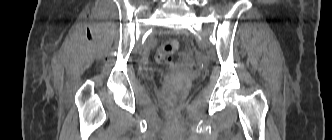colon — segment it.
Segmentation results:
<instances>
[{"label": "colon", "instance_id": "5ec220e1", "mask_svg": "<svg viewBox=\"0 0 332 140\" xmlns=\"http://www.w3.org/2000/svg\"><path fill=\"white\" fill-rule=\"evenodd\" d=\"M178 49V42L176 40H169L160 45L158 50L156 51V60L160 63H164L170 65L173 63L174 54ZM166 75V70L162 69L158 73V77L160 80Z\"/></svg>", "mask_w": 332, "mask_h": 140}]
</instances>
